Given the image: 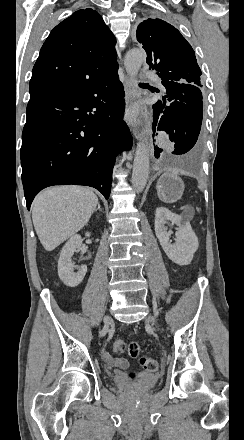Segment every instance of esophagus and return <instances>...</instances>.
Instances as JSON below:
<instances>
[{"instance_id":"obj_1","label":"esophagus","mask_w":244,"mask_h":440,"mask_svg":"<svg viewBox=\"0 0 244 440\" xmlns=\"http://www.w3.org/2000/svg\"><path fill=\"white\" fill-rule=\"evenodd\" d=\"M123 81L127 103H132L136 99V95L134 94V80L129 77V75L125 74ZM136 110L139 114L140 126L133 130V134L136 138L142 140L146 144L148 151L152 156L154 152V147L151 136V122L148 109L146 105H141Z\"/></svg>"}]
</instances>
